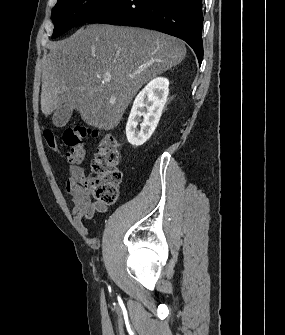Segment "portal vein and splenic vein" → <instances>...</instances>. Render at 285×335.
<instances>
[{
    "instance_id": "obj_1",
    "label": "portal vein and splenic vein",
    "mask_w": 285,
    "mask_h": 335,
    "mask_svg": "<svg viewBox=\"0 0 285 335\" xmlns=\"http://www.w3.org/2000/svg\"><path fill=\"white\" fill-rule=\"evenodd\" d=\"M111 78L110 76H107V78H104V82H110Z\"/></svg>"
}]
</instances>
